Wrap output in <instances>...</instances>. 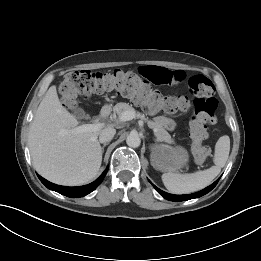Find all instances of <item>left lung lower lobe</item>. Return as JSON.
Segmentation results:
<instances>
[{"label": "left lung lower lobe", "instance_id": "0a47b994", "mask_svg": "<svg viewBox=\"0 0 261 261\" xmlns=\"http://www.w3.org/2000/svg\"><path fill=\"white\" fill-rule=\"evenodd\" d=\"M218 181H219V179L216 180L213 184H211L207 188H205V189H203V190H201V191H199L197 193L189 194V195H172V194H169V193H166V192L160 190L153 183H151V182L150 183L153 185V187L156 189V191L160 195H162L165 199L170 200V201H186V200H190V199H193V198H198V197H201V196L207 194L208 192H210L216 186Z\"/></svg>", "mask_w": 261, "mask_h": 261}]
</instances>
